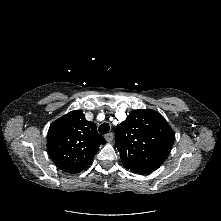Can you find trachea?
I'll return each mask as SVG.
<instances>
[{
    "label": "trachea",
    "instance_id": "trachea-1",
    "mask_svg": "<svg viewBox=\"0 0 221 221\" xmlns=\"http://www.w3.org/2000/svg\"><path fill=\"white\" fill-rule=\"evenodd\" d=\"M98 130L101 134H107L110 130V126L108 123H103L99 126Z\"/></svg>",
    "mask_w": 221,
    "mask_h": 221
}]
</instances>
